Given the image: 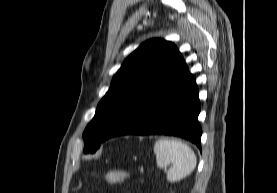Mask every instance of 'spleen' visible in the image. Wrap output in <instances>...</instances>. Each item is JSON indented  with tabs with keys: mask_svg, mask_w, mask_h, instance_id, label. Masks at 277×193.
Wrapping results in <instances>:
<instances>
[{
	"mask_svg": "<svg viewBox=\"0 0 277 193\" xmlns=\"http://www.w3.org/2000/svg\"><path fill=\"white\" fill-rule=\"evenodd\" d=\"M154 153L159 168L171 165L167 172L169 182H178L186 178L197 163L194 151L187 144L175 139L157 140Z\"/></svg>",
	"mask_w": 277,
	"mask_h": 193,
	"instance_id": "3e777b00",
	"label": "spleen"
}]
</instances>
